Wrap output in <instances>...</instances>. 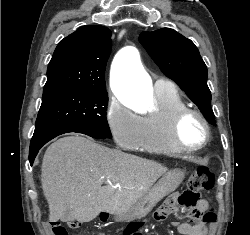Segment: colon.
<instances>
[{
  "instance_id": "1",
  "label": "colon",
  "mask_w": 250,
  "mask_h": 235,
  "mask_svg": "<svg viewBox=\"0 0 250 235\" xmlns=\"http://www.w3.org/2000/svg\"><path fill=\"white\" fill-rule=\"evenodd\" d=\"M215 175L208 167H199L188 179L187 189L180 196V203L187 207H195L200 201V195L204 191L213 188ZM158 212L154 215L156 220ZM203 222L212 223L216 220V214L213 210L206 211L202 216ZM73 227L76 223L71 224ZM54 235H70L67 228L58 221L51 222Z\"/></svg>"
}]
</instances>
